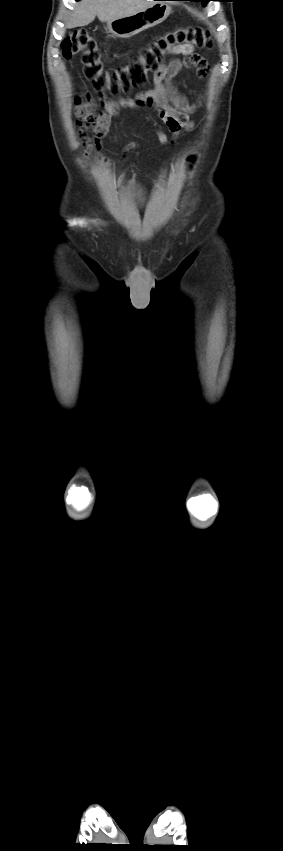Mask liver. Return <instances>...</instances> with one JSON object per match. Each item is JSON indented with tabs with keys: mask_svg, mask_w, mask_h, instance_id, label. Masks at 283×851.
<instances>
[{
	"mask_svg": "<svg viewBox=\"0 0 283 851\" xmlns=\"http://www.w3.org/2000/svg\"><path fill=\"white\" fill-rule=\"evenodd\" d=\"M153 0H81L66 23L67 28L90 24L97 16L101 22L130 16L153 5Z\"/></svg>",
	"mask_w": 283,
	"mask_h": 851,
	"instance_id": "liver-1",
	"label": "liver"
}]
</instances>
